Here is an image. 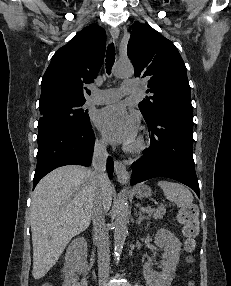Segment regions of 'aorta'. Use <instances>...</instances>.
Segmentation results:
<instances>
[{"label":"aorta","instance_id":"762f6f07","mask_svg":"<svg viewBox=\"0 0 231 286\" xmlns=\"http://www.w3.org/2000/svg\"><path fill=\"white\" fill-rule=\"evenodd\" d=\"M114 76L118 78L129 77L134 73L133 66L130 62L117 63L114 67ZM129 216V204L126 192H122L119 196V201L116 211V219L114 222V255L115 259L119 261L120 254L122 252L126 235H127V223Z\"/></svg>","mask_w":231,"mask_h":286}]
</instances>
